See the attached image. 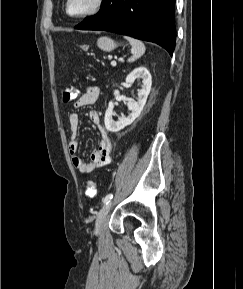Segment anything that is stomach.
Masks as SVG:
<instances>
[{
	"mask_svg": "<svg viewBox=\"0 0 243 289\" xmlns=\"http://www.w3.org/2000/svg\"><path fill=\"white\" fill-rule=\"evenodd\" d=\"M97 45L100 49L104 50V51H112L113 49H115L117 47V44L115 43V41H113L111 38L109 37H100L97 41ZM83 49H86V46H82Z\"/></svg>",
	"mask_w": 243,
	"mask_h": 289,
	"instance_id": "stomach-1",
	"label": "stomach"
}]
</instances>
